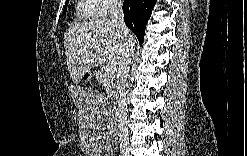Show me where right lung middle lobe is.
I'll use <instances>...</instances> for the list:
<instances>
[{"label": "right lung middle lobe", "mask_w": 247, "mask_h": 156, "mask_svg": "<svg viewBox=\"0 0 247 156\" xmlns=\"http://www.w3.org/2000/svg\"><path fill=\"white\" fill-rule=\"evenodd\" d=\"M67 11V3L65 4L64 13Z\"/></svg>", "instance_id": "dd1d6c3e"}]
</instances>
